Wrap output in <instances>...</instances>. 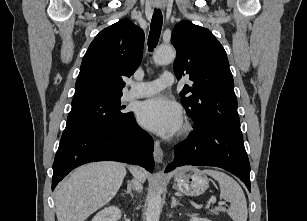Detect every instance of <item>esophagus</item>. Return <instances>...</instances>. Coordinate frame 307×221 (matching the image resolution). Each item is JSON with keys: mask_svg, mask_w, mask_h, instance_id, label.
<instances>
[{"mask_svg": "<svg viewBox=\"0 0 307 221\" xmlns=\"http://www.w3.org/2000/svg\"><path fill=\"white\" fill-rule=\"evenodd\" d=\"M154 160L157 163H161L163 161V151L160 147V142L156 140L154 142V152H153Z\"/></svg>", "mask_w": 307, "mask_h": 221, "instance_id": "1", "label": "esophagus"}]
</instances>
